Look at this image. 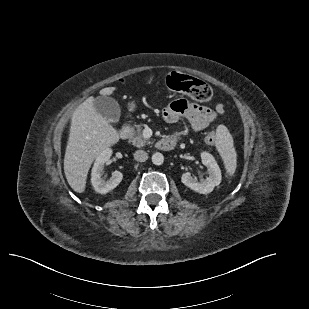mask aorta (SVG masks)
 <instances>
[{"mask_svg":"<svg viewBox=\"0 0 309 309\" xmlns=\"http://www.w3.org/2000/svg\"><path fill=\"white\" fill-rule=\"evenodd\" d=\"M152 162L155 165H162L164 162V156L161 153L156 152L152 155Z\"/></svg>","mask_w":309,"mask_h":309,"instance_id":"1","label":"aorta"}]
</instances>
